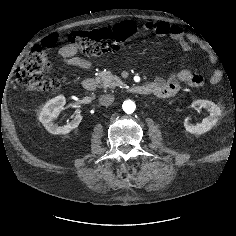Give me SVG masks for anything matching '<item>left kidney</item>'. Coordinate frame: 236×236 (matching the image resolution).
Segmentation results:
<instances>
[{
    "instance_id": "obj_1",
    "label": "left kidney",
    "mask_w": 236,
    "mask_h": 236,
    "mask_svg": "<svg viewBox=\"0 0 236 236\" xmlns=\"http://www.w3.org/2000/svg\"><path fill=\"white\" fill-rule=\"evenodd\" d=\"M193 105L205 108L209 113V116L204 118L201 123L192 124L189 122V118L184 119V127L187 132L192 134H203L211 130L213 126L217 124L218 117L221 115L222 111L215 103L209 100H196Z\"/></svg>"
}]
</instances>
